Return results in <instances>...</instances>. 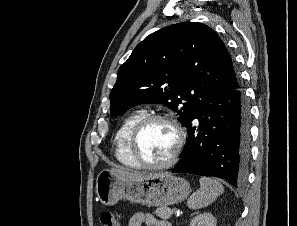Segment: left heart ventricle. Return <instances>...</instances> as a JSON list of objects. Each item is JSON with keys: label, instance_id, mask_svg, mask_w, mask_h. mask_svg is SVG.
<instances>
[{"label": "left heart ventricle", "instance_id": "b2bd125f", "mask_svg": "<svg viewBox=\"0 0 297 226\" xmlns=\"http://www.w3.org/2000/svg\"><path fill=\"white\" fill-rule=\"evenodd\" d=\"M176 144L173 127L162 121L148 124L138 140V151L148 163L158 164L166 161Z\"/></svg>", "mask_w": 297, "mask_h": 226}]
</instances>
